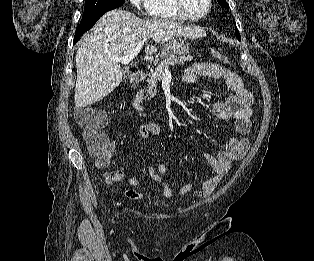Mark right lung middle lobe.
<instances>
[{
    "label": "right lung middle lobe",
    "mask_w": 314,
    "mask_h": 261,
    "mask_svg": "<svg viewBox=\"0 0 314 261\" xmlns=\"http://www.w3.org/2000/svg\"><path fill=\"white\" fill-rule=\"evenodd\" d=\"M125 3V0H86L84 13L80 24L87 23L102 16L109 10L115 9Z\"/></svg>",
    "instance_id": "1"
}]
</instances>
